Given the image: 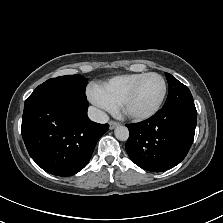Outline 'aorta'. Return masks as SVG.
<instances>
[{
  "label": "aorta",
  "instance_id": "obj_1",
  "mask_svg": "<svg viewBox=\"0 0 223 223\" xmlns=\"http://www.w3.org/2000/svg\"><path fill=\"white\" fill-rule=\"evenodd\" d=\"M115 137L119 140H126L129 136V131L126 126L118 125L114 128Z\"/></svg>",
  "mask_w": 223,
  "mask_h": 223
}]
</instances>
